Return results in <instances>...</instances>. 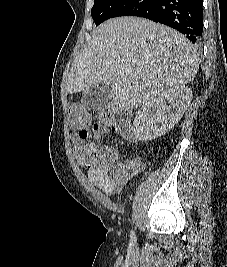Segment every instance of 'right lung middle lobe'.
Instances as JSON below:
<instances>
[{
    "mask_svg": "<svg viewBox=\"0 0 227 267\" xmlns=\"http://www.w3.org/2000/svg\"><path fill=\"white\" fill-rule=\"evenodd\" d=\"M129 0H94L91 16L96 26L103 21L112 18Z\"/></svg>",
    "mask_w": 227,
    "mask_h": 267,
    "instance_id": "right-lung-middle-lobe-1",
    "label": "right lung middle lobe"
}]
</instances>
